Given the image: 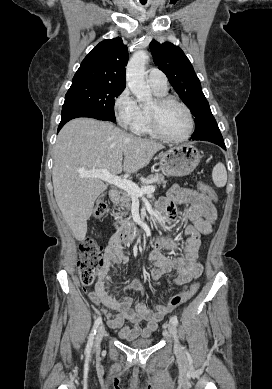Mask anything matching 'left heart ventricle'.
Here are the masks:
<instances>
[{
    "label": "left heart ventricle",
    "instance_id": "left-heart-ventricle-1",
    "mask_svg": "<svg viewBox=\"0 0 272 389\" xmlns=\"http://www.w3.org/2000/svg\"><path fill=\"white\" fill-rule=\"evenodd\" d=\"M156 108V102L150 107L151 110ZM159 121L161 129L170 137L183 136L189 126L186 112L178 105L170 104L159 111Z\"/></svg>",
    "mask_w": 272,
    "mask_h": 389
}]
</instances>
